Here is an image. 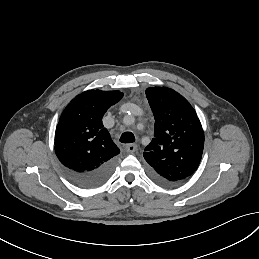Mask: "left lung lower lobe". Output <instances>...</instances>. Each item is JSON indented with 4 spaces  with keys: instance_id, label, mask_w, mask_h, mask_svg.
<instances>
[{
    "instance_id": "obj_1",
    "label": "left lung lower lobe",
    "mask_w": 259,
    "mask_h": 259,
    "mask_svg": "<svg viewBox=\"0 0 259 259\" xmlns=\"http://www.w3.org/2000/svg\"><path fill=\"white\" fill-rule=\"evenodd\" d=\"M150 175H151V177H152V179H153L154 181H156L157 183H159V184H161V185L174 186V185H177V184L180 183V182H179V183L166 182V181L161 180L160 178H158L157 176H155V175H153V174H151V173H150Z\"/></svg>"
}]
</instances>
